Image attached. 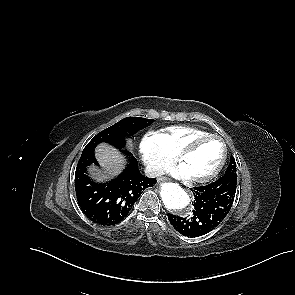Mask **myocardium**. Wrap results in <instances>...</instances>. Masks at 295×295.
Here are the masks:
<instances>
[{
	"label": "myocardium",
	"instance_id": "myocardium-1",
	"mask_svg": "<svg viewBox=\"0 0 295 295\" xmlns=\"http://www.w3.org/2000/svg\"><path fill=\"white\" fill-rule=\"evenodd\" d=\"M208 139H216L221 143V146H222L221 158H220L217 166L209 174H207L205 176H201V177H190V180L194 183H207V182L213 180L221 172V170L224 167V164L226 162L227 153H228L227 145H226L224 139L221 136H219L217 134H212V133L200 135V136L193 138L191 141H189L176 155L177 160L179 162H182L183 159L187 155L192 153L200 143H202L203 141L208 140Z\"/></svg>",
	"mask_w": 295,
	"mask_h": 295
}]
</instances>
